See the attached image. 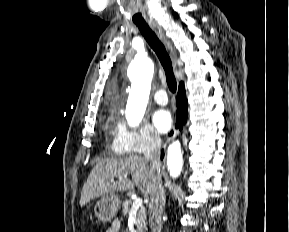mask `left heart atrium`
Listing matches in <instances>:
<instances>
[{
	"label": "left heart atrium",
	"mask_w": 289,
	"mask_h": 232,
	"mask_svg": "<svg viewBox=\"0 0 289 232\" xmlns=\"http://www.w3.org/2000/svg\"><path fill=\"white\" fill-rule=\"evenodd\" d=\"M153 124L160 133H166L172 127L173 119L171 113L166 109H158L154 112Z\"/></svg>",
	"instance_id": "1"
}]
</instances>
